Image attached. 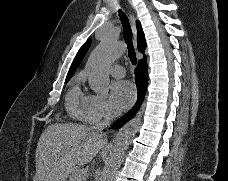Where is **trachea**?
Instances as JSON below:
<instances>
[{
	"instance_id": "obj_1",
	"label": "trachea",
	"mask_w": 228,
	"mask_h": 181,
	"mask_svg": "<svg viewBox=\"0 0 228 181\" xmlns=\"http://www.w3.org/2000/svg\"><path fill=\"white\" fill-rule=\"evenodd\" d=\"M119 17L123 27L124 40L127 45L128 56L130 58L131 63L133 65H136L137 58H136V53L132 42V30H131L128 17L122 10H119Z\"/></svg>"
}]
</instances>
